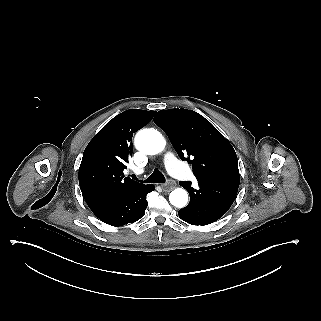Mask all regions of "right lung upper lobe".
<instances>
[{
  "label": "right lung upper lobe",
  "instance_id": "cb5924a9",
  "mask_svg": "<svg viewBox=\"0 0 321 321\" xmlns=\"http://www.w3.org/2000/svg\"><path fill=\"white\" fill-rule=\"evenodd\" d=\"M156 111L130 109L111 119L89 142L79 167V185L91 208L122 198L142 187L124 176L132 154L133 133L145 126Z\"/></svg>",
  "mask_w": 321,
  "mask_h": 321
}]
</instances>
